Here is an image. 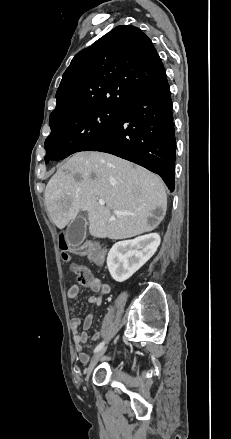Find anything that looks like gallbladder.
<instances>
[{"label": "gallbladder", "instance_id": "1", "mask_svg": "<svg viewBox=\"0 0 231 439\" xmlns=\"http://www.w3.org/2000/svg\"><path fill=\"white\" fill-rule=\"evenodd\" d=\"M87 221L84 216H78L71 221L66 235L71 246L76 247V243L84 241L86 238Z\"/></svg>", "mask_w": 231, "mask_h": 439}]
</instances>
